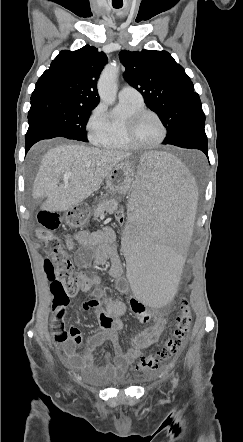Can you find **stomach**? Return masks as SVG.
<instances>
[{"label":"stomach","mask_w":243,"mask_h":442,"mask_svg":"<svg viewBox=\"0 0 243 442\" xmlns=\"http://www.w3.org/2000/svg\"><path fill=\"white\" fill-rule=\"evenodd\" d=\"M135 169L129 161H122L117 164L106 178V187L112 193L124 195L130 190L133 183ZM65 222L72 228L81 227L87 223L89 215L86 206L80 204L67 210L64 214Z\"/></svg>","instance_id":"1"}]
</instances>
